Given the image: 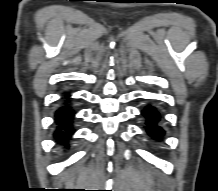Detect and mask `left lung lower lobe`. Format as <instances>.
<instances>
[{
  "mask_svg": "<svg viewBox=\"0 0 218 191\" xmlns=\"http://www.w3.org/2000/svg\"><path fill=\"white\" fill-rule=\"evenodd\" d=\"M142 115L146 118V131L154 139H161L164 135V130L157 125L160 121V114L156 108L152 106H147L143 111Z\"/></svg>",
  "mask_w": 218,
  "mask_h": 191,
  "instance_id": "1",
  "label": "left lung lower lobe"
}]
</instances>
